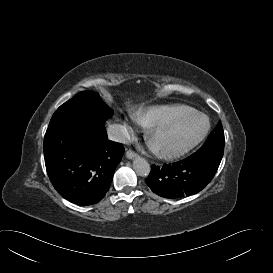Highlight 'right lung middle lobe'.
Here are the masks:
<instances>
[{"label": "right lung middle lobe", "mask_w": 273, "mask_h": 273, "mask_svg": "<svg viewBox=\"0 0 273 273\" xmlns=\"http://www.w3.org/2000/svg\"><path fill=\"white\" fill-rule=\"evenodd\" d=\"M60 113L101 122H105L112 115L111 109L101 100L99 94L92 91L78 93L74 98L61 105L54 115H59Z\"/></svg>", "instance_id": "dd1d6c3e"}]
</instances>
